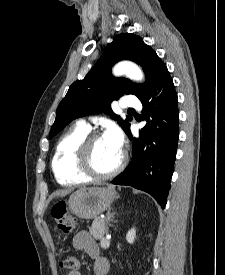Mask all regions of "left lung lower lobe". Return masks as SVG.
<instances>
[{
	"label": "left lung lower lobe",
	"mask_w": 225,
	"mask_h": 275,
	"mask_svg": "<svg viewBox=\"0 0 225 275\" xmlns=\"http://www.w3.org/2000/svg\"><path fill=\"white\" fill-rule=\"evenodd\" d=\"M139 99L147 124L139 138H132L130 128L126 131L133 142L132 159L112 183L146 191L164 208L179 136L177 93L167 69Z\"/></svg>",
	"instance_id": "0a47b994"
}]
</instances>
